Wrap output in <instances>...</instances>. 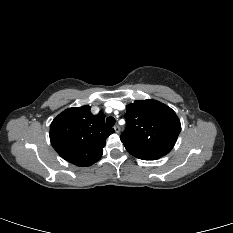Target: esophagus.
Returning a JSON list of instances; mask_svg holds the SVG:
<instances>
[{
	"mask_svg": "<svg viewBox=\"0 0 233 233\" xmlns=\"http://www.w3.org/2000/svg\"><path fill=\"white\" fill-rule=\"evenodd\" d=\"M114 130H115L116 133H119L120 132V127L118 125H115Z\"/></svg>",
	"mask_w": 233,
	"mask_h": 233,
	"instance_id": "34e87169",
	"label": "esophagus"
}]
</instances>
